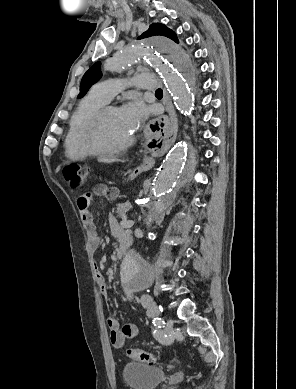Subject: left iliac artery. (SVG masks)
I'll return each mask as SVG.
<instances>
[{"label":"left iliac artery","mask_w":296,"mask_h":389,"mask_svg":"<svg viewBox=\"0 0 296 389\" xmlns=\"http://www.w3.org/2000/svg\"><path fill=\"white\" fill-rule=\"evenodd\" d=\"M153 324H154V326H157V327L161 328V327H164L165 322L161 318L160 319L154 318L153 319Z\"/></svg>","instance_id":"44dca946"}]
</instances>
